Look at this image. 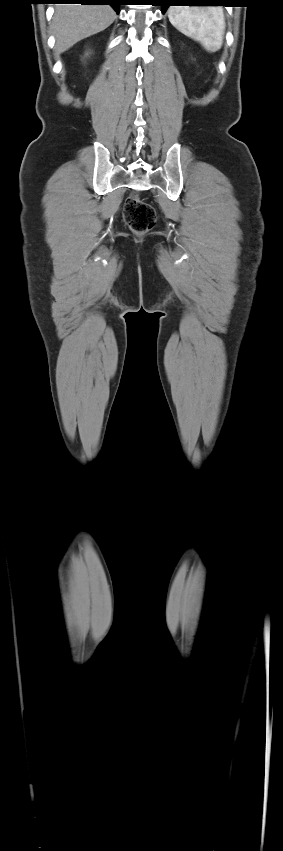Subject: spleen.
<instances>
[{"instance_id": "3e777b00", "label": "spleen", "mask_w": 283, "mask_h": 851, "mask_svg": "<svg viewBox=\"0 0 283 851\" xmlns=\"http://www.w3.org/2000/svg\"><path fill=\"white\" fill-rule=\"evenodd\" d=\"M168 18L178 31L199 42L206 51L221 49L226 27L221 7H170Z\"/></svg>"}]
</instances>
